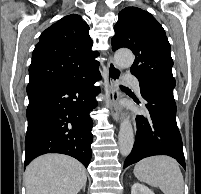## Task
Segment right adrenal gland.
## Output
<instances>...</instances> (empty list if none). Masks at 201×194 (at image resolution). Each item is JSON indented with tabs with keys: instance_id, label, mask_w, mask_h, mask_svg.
<instances>
[{
	"instance_id": "obj_1",
	"label": "right adrenal gland",
	"mask_w": 201,
	"mask_h": 194,
	"mask_svg": "<svg viewBox=\"0 0 201 194\" xmlns=\"http://www.w3.org/2000/svg\"><path fill=\"white\" fill-rule=\"evenodd\" d=\"M83 191L85 192V186L83 187Z\"/></svg>"
}]
</instances>
